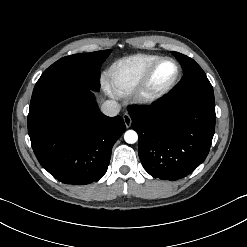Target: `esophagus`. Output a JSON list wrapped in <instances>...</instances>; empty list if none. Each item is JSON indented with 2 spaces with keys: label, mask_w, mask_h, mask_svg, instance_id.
Returning a JSON list of instances; mask_svg holds the SVG:
<instances>
[{
  "label": "esophagus",
  "mask_w": 247,
  "mask_h": 247,
  "mask_svg": "<svg viewBox=\"0 0 247 247\" xmlns=\"http://www.w3.org/2000/svg\"><path fill=\"white\" fill-rule=\"evenodd\" d=\"M123 120H124L125 126H126L127 128H129V127L131 126L132 119H131V117H130V115H129L128 113H125V114L123 115Z\"/></svg>",
  "instance_id": "1"
}]
</instances>
